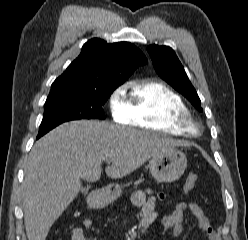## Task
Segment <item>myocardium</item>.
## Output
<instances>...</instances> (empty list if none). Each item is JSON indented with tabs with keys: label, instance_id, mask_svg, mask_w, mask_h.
<instances>
[{
	"label": "myocardium",
	"instance_id": "f54148a6",
	"mask_svg": "<svg viewBox=\"0 0 248 240\" xmlns=\"http://www.w3.org/2000/svg\"><path fill=\"white\" fill-rule=\"evenodd\" d=\"M174 124L182 127L188 135H197L200 131V124L196 121L191 114H179L172 119Z\"/></svg>",
	"mask_w": 248,
	"mask_h": 240
}]
</instances>
